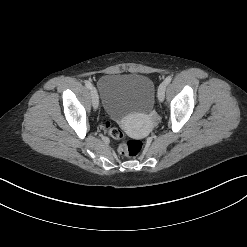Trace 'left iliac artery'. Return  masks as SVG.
I'll use <instances>...</instances> for the list:
<instances>
[{"instance_id": "obj_1", "label": "left iliac artery", "mask_w": 247, "mask_h": 247, "mask_svg": "<svg viewBox=\"0 0 247 247\" xmlns=\"http://www.w3.org/2000/svg\"><path fill=\"white\" fill-rule=\"evenodd\" d=\"M171 80H172V76H168L166 79H165V83L166 84H169L170 82H171Z\"/></svg>"}]
</instances>
